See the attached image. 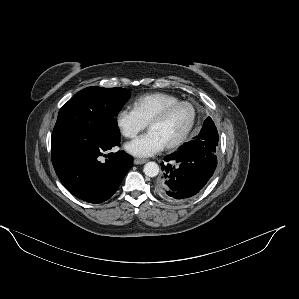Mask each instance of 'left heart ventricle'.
<instances>
[{
  "mask_svg": "<svg viewBox=\"0 0 299 299\" xmlns=\"http://www.w3.org/2000/svg\"><path fill=\"white\" fill-rule=\"evenodd\" d=\"M192 119V109L183 105L175 109L162 122L152 125L149 130L154 132L167 145L176 140L189 126Z\"/></svg>",
  "mask_w": 299,
  "mask_h": 299,
  "instance_id": "b2bd125f",
  "label": "left heart ventricle"
}]
</instances>
